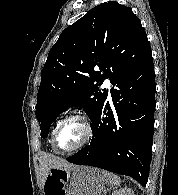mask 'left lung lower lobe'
Returning a JSON list of instances; mask_svg holds the SVG:
<instances>
[{"instance_id":"1","label":"left lung lower lobe","mask_w":178,"mask_h":195,"mask_svg":"<svg viewBox=\"0 0 178 195\" xmlns=\"http://www.w3.org/2000/svg\"><path fill=\"white\" fill-rule=\"evenodd\" d=\"M113 85V110L104 102L92 121L90 144L68 161L128 175L145 186L154 130L156 85L152 51L122 73Z\"/></svg>"}]
</instances>
